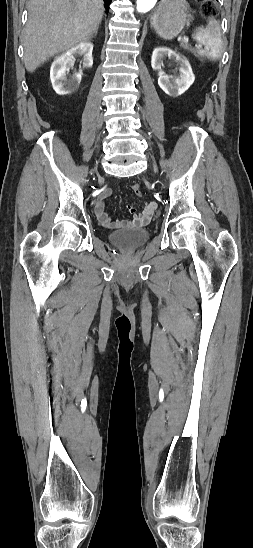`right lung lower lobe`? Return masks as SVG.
<instances>
[{
  "mask_svg": "<svg viewBox=\"0 0 253 548\" xmlns=\"http://www.w3.org/2000/svg\"><path fill=\"white\" fill-rule=\"evenodd\" d=\"M103 1L105 2V5H106V7H107V9H108V8H109V4H110L111 0H103Z\"/></svg>",
  "mask_w": 253,
  "mask_h": 548,
  "instance_id": "obj_1",
  "label": "right lung lower lobe"
}]
</instances>
